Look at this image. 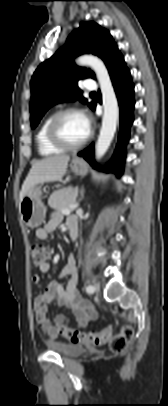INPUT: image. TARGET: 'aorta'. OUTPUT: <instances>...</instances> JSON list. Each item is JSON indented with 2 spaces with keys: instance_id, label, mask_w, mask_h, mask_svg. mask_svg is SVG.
<instances>
[{
  "instance_id": "762f6f07",
  "label": "aorta",
  "mask_w": 168,
  "mask_h": 406,
  "mask_svg": "<svg viewBox=\"0 0 168 406\" xmlns=\"http://www.w3.org/2000/svg\"><path fill=\"white\" fill-rule=\"evenodd\" d=\"M76 63L80 66H90L100 85L104 114L95 149V157L100 159L108 150L116 131L119 118L117 98L107 68L101 59L93 55H82Z\"/></svg>"
}]
</instances>
